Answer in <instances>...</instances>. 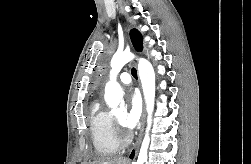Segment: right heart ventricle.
<instances>
[{"label": "right heart ventricle", "instance_id": "obj_1", "mask_svg": "<svg viewBox=\"0 0 251 164\" xmlns=\"http://www.w3.org/2000/svg\"><path fill=\"white\" fill-rule=\"evenodd\" d=\"M89 122L96 154L102 157L115 155L120 149V141L114 117L99 101L91 105Z\"/></svg>", "mask_w": 251, "mask_h": 164}]
</instances>
